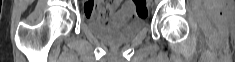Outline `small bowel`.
Here are the masks:
<instances>
[{
    "instance_id": "small-bowel-1",
    "label": "small bowel",
    "mask_w": 235,
    "mask_h": 62,
    "mask_svg": "<svg viewBox=\"0 0 235 62\" xmlns=\"http://www.w3.org/2000/svg\"><path fill=\"white\" fill-rule=\"evenodd\" d=\"M90 5H92V3H88L86 5V9L87 7H89ZM106 5L108 6V8L111 10V12L113 13L120 5V1L119 0H114V1H109L106 3ZM132 9V3L127 2L124 5V10H131ZM89 18V17H88ZM91 19V18H90ZM95 20V19H94Z\"/></svg>"
}]
</instances>
